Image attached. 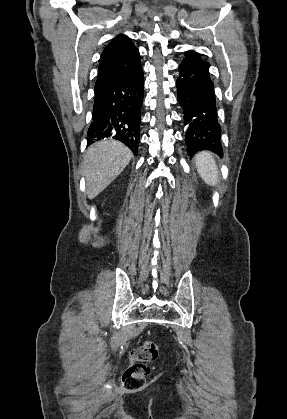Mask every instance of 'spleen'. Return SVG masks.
Segmentation results:
<instances>
[{
  "instance_id": "1",
  "label": "spleen",
  "mask_w": 287,
  "mask_h": 419,
  "mask_svg": "<svg viewBox=\"0 0 287 419\" xmlns=\"http://www.w3.org/2000/svg\"><path fill=\"white\" fill-rule=\"evenodd\" d=\"M195 165L205 183L215 186L219 180V172L213 155L203 151L196 155Z\"/></svg>"
}]
</instances>
